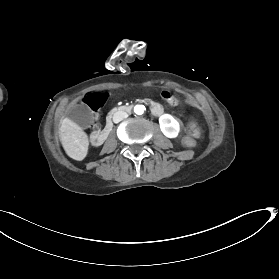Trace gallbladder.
<instances>
[{"instance_id":"gallbladder-1","label":"gallbladder","mask_w":279,"mask_h":279,"mask_svg":"<svg viewBox=\"0 0 279 279\" xmlns=\"http://www.w3.org/2000/svg\"><path fill=\"white\" fill-rule=\"evenodd\" d=\"M68 118L72 122L79 123L80 129L85 130L92 121L91 110L89 108H85V106L81 104H78L69 110Z\"/></svg>"}]
</instances>
